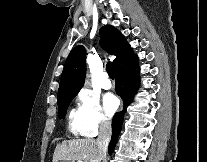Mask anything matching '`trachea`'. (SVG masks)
Returning a JSON list of instances; mask_svg holds the SVG:
<instances>
[{
	"mask_svg": "<svg viewBox=\"0 0 207 162\" xmlns=\"http://www.w3.org/2000/svg\"><path fill=\"white\" fill-rule=\"evenodd\" d=\"M106 71L108 73V75L110 76V78L114 79V67H113V63L112 62H108L106 65Z\"/></svg>",
	"mask_w": 207,
	"mask_h": 162,
	"instance_id": "obj_1",
	"label": "trachea"
}]
</instances>
